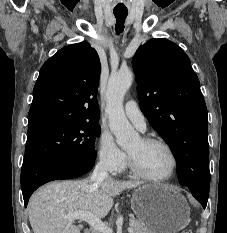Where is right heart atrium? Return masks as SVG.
<instances>
[{
  "label": "right heart atrium",
  "mask_w": 227,
  "mask_h": 233,
  "mask_svg": "<svg viewBox=\"0 0 227 233\" xmlns=\"http://www.w3.org/2000/svg\"><path fill=\"white\" fill-rule=\"evenodd\" d=\"M98 163L110 173L121 172L127 164L125 152L116 144L112 134L102 129L96 143Z\"/></svg>",
  "instance_id": "right-heart-atrium-1"
}]
</instances>
